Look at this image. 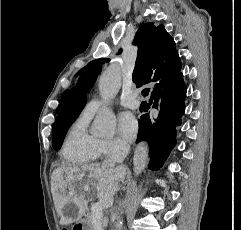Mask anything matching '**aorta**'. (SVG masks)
Here are the masks:
<instances>
[{"label": "aorta", "mask_w": 241, "mask_h": 230, "mask_svg": "<svg viewBox=\"0 0 241 230\" xmlns=\"http://www.w3.org/2000/svg\"><path fill=\"white\" fill-rule=\"evenodd\" d=\"M121 87V73L119 68H108L99 79V91L105 105L101 107L93 122L92 133L101 137H112L116 129V117L108 107V102L113 99ZM148 151L144 144H140L134 153L133 164L136 175L140 174L147 163ZM116 230L123 229V223L119 220Z\"/></svg>", "instance_id": "obj_1"}]
</instances>
